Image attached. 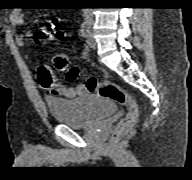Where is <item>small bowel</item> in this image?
Listing matches in <instances>:
<instances>
[{
	"label": "small bowel",
	"mask_w": 192,
	"mask_h": 180,
	"mask_svg": "<svg viewBox=\"0 0 192 180\" xmlns=\"http://www.w3.org/2000/svg\"><path fill=\"white\" fill-rule=\"evenodd\" d=\"M10 22L13 25H21L23 23V14L20 10L12 11L10 15ZM17 40L22 42V38L20 36L17 37ZM38 78L42 87L47 89L52 95L60 96L64 98H76L79 96H83L87 93L84 85H77L67 87L60 82H58L52 71L49 67L45 65H41L38 70Z\"/></svg>",
	"instance_id": "c3829d8e"
}]
</instances>
